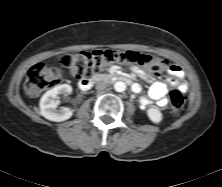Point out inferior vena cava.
<instances>
[{"label":"inferior vena cava","mask_w":222,"mask_h":187,"mask_svg":"<svg viewBox=\"0 0 222 187\" xmlns=\"http://www.w3.org/2000/svg\"><path fill=\"white\" fill-rule=\"evenodd\" d=\"M107 86H108V83H107V82H105V81H99V82H97V84H96V89H97L98 91H103V90H105V89L107 88Z\"/></svg>","instance_id":"1"}]
</instances>
